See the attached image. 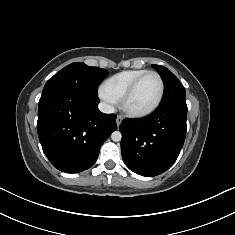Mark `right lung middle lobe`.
Wrapping results in <instances>:
<instances>
[{"label": "right lung middle lobe", "instance_id": "1", "mask_svg": "<svg viewBox=\"0 0 235 235\" xmlns=\"http://www.w3.org/2000/svg\"><path fill=\"white\" fill-rule=\"evenodd\" d=\"M108 71L90 67L83 62H75L60 70L45 84L42 94L71 89L83 94L97 96L99 83Z\"/></svg>", "mask_w": 235, "mask_h": 235}]
</instances>
